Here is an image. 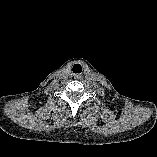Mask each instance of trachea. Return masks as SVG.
<instances>
[{"instance_id":"trachea-1","label":"trachea","mask_w":157,"mask_h":157,"mask_svg":"<svg viewBox=\"0 0 157 157\" xmlns=\"http://www.w3.org/2000/svg\"><path fill=\"white\" fill-rule=\"evenodd\" d=\"M77 69H78L79 71H77ZM81 71H82V68H81V65H80V64H75V65L73 66V72H74V73H81Z\"/></svg>"}]
</instances>
